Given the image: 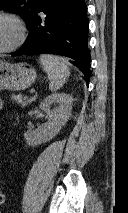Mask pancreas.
<instances>
[{"mask_svg": "<svg viewBox=\"0 0 128 213\" xmlns=\"http://www.w3.org/2000/svg\"><path fill=\"white\" fill-rule=\"evenodd\" d=\"M11 99H13L17 104L22 105L23 107L31 103V99L27 97H22V95H12Z\"/></svg>", "mask_w": 128, "mask_h": 213, "instance_id": "obj_1", "label": "pancreas"}]
</instances>
